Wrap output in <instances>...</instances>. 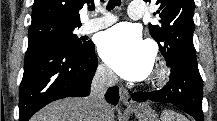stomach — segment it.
<instances>
[{"instance_id":"1","label":"stomach","mask_w":217,"mask_h":121,"mask_svg":"<svg viewBox=\"0 0 217 121\" xmlns=\"http://www.w3.org/2000/svg\"><path fill=\"white\" fill-rule=\"evenodd\" d=\"M138 121H159L158 115L148 104H138L130 109Z\"/></svg>"}]
</instances>
